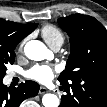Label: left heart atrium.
<instances>
[{
    "label": "left heart atrium",
    "instance_id": "left-heart-atrium-1",
    "mask_svg": "<svg viewBox=\"0 0 107 107\" xmlns=\"http://www.w3.org/2000/svg\"><path fill=\"white\" fill-rule=\"evenodd\" d=\"M26 77L40 83H48L54 77V69L49 65H35L26 72Z\"/></svg>",
    "mask_w": 107,
    "mask_h": 107
}]
</instances>
